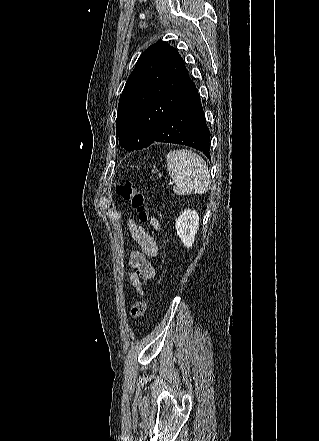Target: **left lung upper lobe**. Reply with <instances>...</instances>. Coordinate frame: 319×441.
<instances>
[{"instance_id":"left-lung-upper-lobe-1","label":"left lung upper lobe","mask_w":319,"mask_h":441,"mask_svg":"<svg viewBox=\"0 0 319 441\" xmlns=\"http://www.w3.org/2000/svg\"><path fill=\"white\" fill-rule=\"evenodd\" d=\"M192 82L176 48L165 41L147 48L119 100L116 138L120 146L128 150L148 147Z\"/></svg>"}]
</instances>
